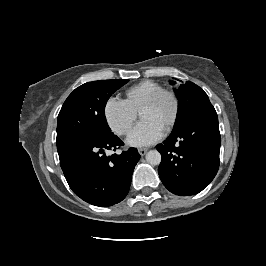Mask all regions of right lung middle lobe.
Segmentation results:
<instances>
[{"instance_id": "right-lung-middle-lobe-1", "label": "right lung middle lobe", "mask_w": 266, "mask_h": 266, "mask_svg": "<svg viewBox=\"0 0 266 266\" xmlns=\"http://www.w3.org/2000/svg\"><path fill=\"white\" fill-rule=\"evenodd\" d=\"M127 82L125 79L88 82L68 96L57 121L59 155L76 144L112 133L105 118V105L109 97Z\"/></svg>"}]
</instances>
